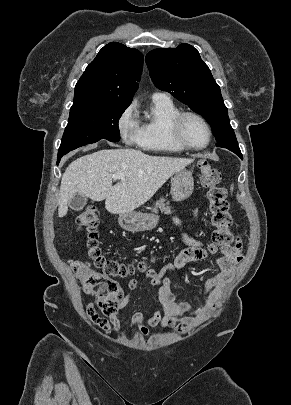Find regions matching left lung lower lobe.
Returning a JSON list of instances; mask_svg holds the SVG:
<instances>
[{"label":"left lung lower lobe","mask_w":291,"mask_h":405,"mask_svg":"<svg viewBox=\"0 0 291 405\" xmlns=\"http://www.w3.org/2000/svg\"><path fill=\"white\" fill-rule=\"evenodd\" d=\"M235 153H236L240 158H242L241 151H236Z\"/></svg>","instance_id":"1"}]
</instances>
